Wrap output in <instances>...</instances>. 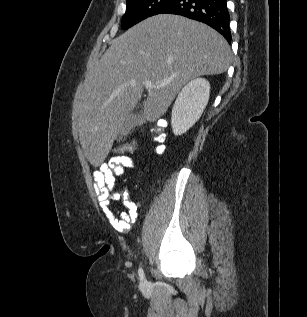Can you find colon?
<instances>
[{
    "instance_id": "1",
    "label": "colon",
    "mask_w": 307,
    "mask_h": 317,
    "mask_svg": "<svg viewBox=\"0 0 307 317\" xmlns=\"http://www.w3.org/2000/svg\"><path fill=\"white\" fill-rule=\"evenodd\" d=\"M166 127L167 123L165 120H158L150 131V135L153 141L157 144L155 151L157 153H163L165 151V139H166ZM137 149V142L135 140H130L126 143H121L116 145L112 152L115 155H131Z\"/></svg>"
}]
</instances>
